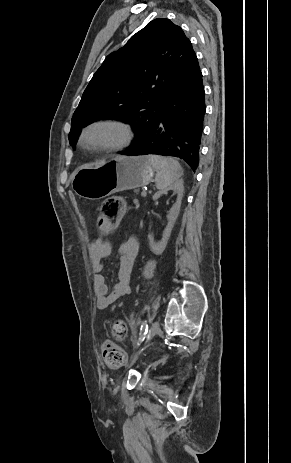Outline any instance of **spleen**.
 Returning a JSON list of instances; mask_svg holds the SVG:
<instances>
[{"label": "spleen", "instance_id": "1", "mask_svg": "<svg viewBox=\"0 0 291 463\" xmlns=\"http://www.w3.org/2000/svg\"><path fill=\"white\" fill-rule=\"evenodd\" d=\"M148 160L156 170L155 184L157 189L163 190L176 182L183 174V170L173 158L149 155Z\"/></svg>", "mask_w": 291, "mask_h": 463}]
</instances>
